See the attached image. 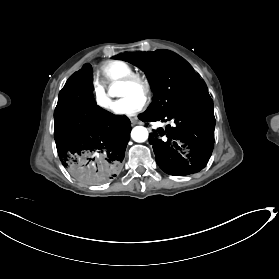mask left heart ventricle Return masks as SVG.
I'll return each mask as SVG.
<instances>
[{"mask_svg":"<svg viewBox=\"0 0 279 279\" xmlns=\"http://www.w3.org/2000/svg\"><path fill=\"white\" fill-rule=\"evenodd\" d=\"M118 97H142L141 91L138 88L130 87L127 85L118 86Z\"/></svg>","mask_w":279,"mask_h":279,"instance_id":"left-heart-ventricle-1","label":"left heart ventricle"}]
</instances>
